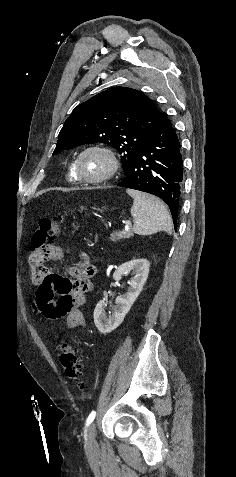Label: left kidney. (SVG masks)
<instances>
[{
  "mask_svg": "<svg viewBox=\"0 0 236 477\" xmlns=\"http://www.w3.org/2000/svg\"><path fill=\"white\" fill-rule=\"evenodd\" d=\"M149 262L146 259H134L120 265L113 274V279L118 281L122 276L131 273L134 277L128 282V291L116 298V307L109 318L106 317V302L99 301L94 310V323L100 333L107 334L115 330L124 320L131 306L136 301L149 274Z\"/></svg>",
  "mask_w": 236,
  "mask_h": 477,
  "instance_id": "5707ae66",
  "label": "left kidney"
}]
</instances>
